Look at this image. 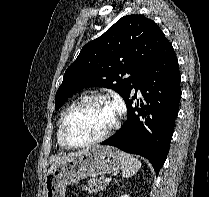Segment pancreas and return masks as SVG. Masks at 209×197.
<instances>
[{
    "label": "pancreas",
    "mask_w": 209,
    "mask_h": 197,
    "mask_svg": "<svg viewBox=\"0 0 209 197\" xmlns=\"http://www.w3.org/2000/svg\"><path fill=\"white\" fill-rule=\"evenodd\" d=\"M108 183L105 181L104 177L93 178L88 181V186H82L83 190L88 191V193H97L100 190H104Z\"/></svg>",
    "instance_id": "cf45deb5"
}]
</instances>
